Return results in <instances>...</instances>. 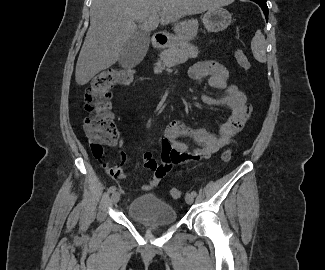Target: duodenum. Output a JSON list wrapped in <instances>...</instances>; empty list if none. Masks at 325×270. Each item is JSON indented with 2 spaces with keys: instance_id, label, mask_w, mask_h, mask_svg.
I'll list each match as a JSON object with an SVG mask.
<instances>
[{
  "instance_id": "obj_1",
  "label": "duodenum",
  "mask_w": 325,
  "mask_h": 270,
  "mask_svg": "<svg viewBox=\"0 0 325 270\" xmlns=\"http://www.w3.org/2000/svg\"><path fill=\"white\" fill-rule=\"evenodd\" d=\"M166 40H167V37L162 32H156L153 35V42H154L156 47H161L162 44H164L166 42Z\"/></svg>"
}]
</instances>
